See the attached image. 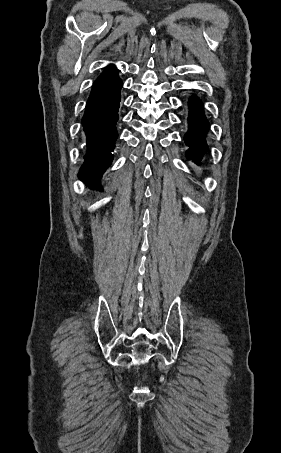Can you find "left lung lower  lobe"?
<instances>
[{
  "instance_id": "0a47b994",
  "label": "left lung lower lobe",
  "mask_w": 281,
  "mask_h": 453,
  "mask_svg": "<svg viewBox=\"0 0 281 453\" xmlns=\"http://www.w3.org/2000/svg\"><path fill=\"white\" fill-rule=\"evenodd\" d=\"M188 123L189 131L184 140L190 148L186 156L199 165L203 154L208 149L205 136L209 129V123L204 115L201 100L195 96L189 99Z\"/></svg>"
}]
</instances>
